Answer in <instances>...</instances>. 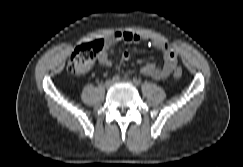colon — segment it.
<instances>
[{
	"mask_svg": "<svg viewBox=\"0 0 243 167\" xmlns=\"http://www.w3.org/2000/svg\"><path fill=\"white\" fill-rule=\"evenodd\" d=\"M103 40H93L78 46L71 54L68 71L73 75H80L89 70L94 63L97 55L104 49ZM182 76V70L176 69L174 72L175 78Z\"/></svg>",
	"mask_w": 243,
	"mask_h": 167,
	"instance_id": "obj_1",
	"label": "colon"
}]
</instances>
